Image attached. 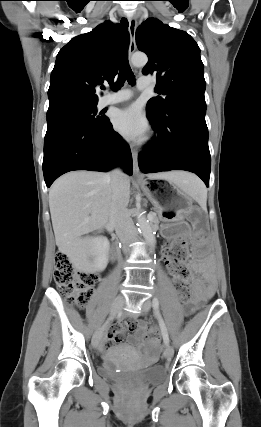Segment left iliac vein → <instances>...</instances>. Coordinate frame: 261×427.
Listing matches in <instances>:
<instances>
[{
	"label": "left iliac vein",
	"instance_id": "obj_1",
	"mask_svg": "<svg viewBox=\"0 0 261 427\" xmlns=\"http://www.w3.org/2000/svg\"><path fill=\"white\" fill-rule=\"evenodd\" d=\"M151 305H152V303H151V301L149 299L143 301L142 304H141L142 311L145 312V313H147L150 310ZM173 354H174L173 348L170 345H166V348H165V351H164V356L166 358L170 359V358L173 357Z\"/></svg>",
	"mask_w": 261,
	"mask_h": 427
}]
</instances>
